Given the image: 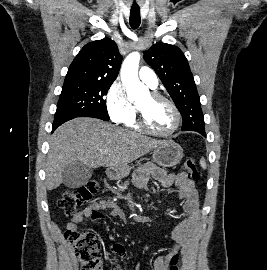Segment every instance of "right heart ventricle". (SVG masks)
Wrapping results in <instances>:
<instances>
[{"label": "right heart ventricle", "mask_w": 267, "mask_h": 270, "mask_svg": "<svg viewBox=\"0 0 267 270\" xmlns=\"http://www.w3.org/2000/svg\"><path fill=\"white\" fill-rule=\"evenodd\" d=\"M127 127H129L130 129L136 130V131H140L141 128L137 123L136 117L134 116L132 119H130L128 122L125 123Z\"/></svg>", "instance_id": "obj_1"}]
</instances>
